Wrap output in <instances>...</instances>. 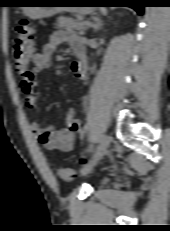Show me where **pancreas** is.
Here are the masks:
<instances>
[{
    "instance_id": "cf45deb5",
    "label": "pancreas",
    "mask_w": 170,
    "mask_h": 231,
    "mask_svg": "<svg viewBox=\"0 0 170 231\" xmlns=\"http://www.w3.org/2000/svg\"><path fill=\"white\" fill-rule=\"evenodd\" d=\"M56 26L60 29L76 30L78 32H84L86 30V24L82 18L72 19L65 16L57 18Z\"/></svg>"
}]
</instances>
